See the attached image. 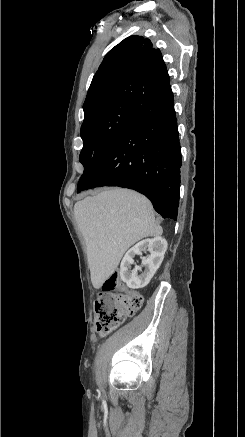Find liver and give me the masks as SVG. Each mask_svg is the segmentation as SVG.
Returning a JSON list of instances; mask_svg holds the SVG:
<instances>
[{
    "instance_id": "liver-1",
    "label": "liver",
    "mask_w": 245,
    "mask_h": 437,
    "mask_svg": "<svg viewBox=\"0 0 245 437\" xmlns=\"http://www.w3.org/2000/svg\"><path fill=\"white\" fill-rule=\"evenodd\" d=\"M74 216L85 239L91 282L99 289L126 250L146 237H159L150 201L132 190L113 188L78 201Z\"/></svg>"
}]
</instances>
